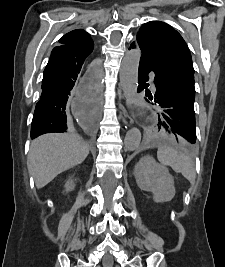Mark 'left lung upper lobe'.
Here are the masks:
<instances>
[{
  "label": "left lung upper lobe",
  "instance_id": "5c2ea615",
  "mask_svg": "<svg viewBox=\"0 0 225 267\" xmlns=\"http://www.w3.org/2000/svg\"><path fill=\"white\" fill-rule=\"evenodd\" d=\"M135 43L141 49L142 54L154 64L183 66L194 72L187 44L173 27L164 22L150 21L144 24L137 34ZM159 122L162 124L160 119ZM166 133L179 145L186 148L193 147V145L188 146L178 134L174 132L169 134L167 131Z\"/></svg>",
  "mask_w": 225,
  "mask_h": 267
}]
</instances>
